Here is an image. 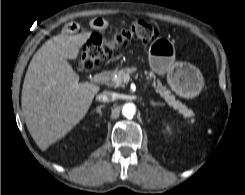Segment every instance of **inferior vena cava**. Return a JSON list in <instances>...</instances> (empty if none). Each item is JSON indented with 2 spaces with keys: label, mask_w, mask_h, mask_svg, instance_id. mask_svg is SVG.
Masks as SVG:
<instances>
[{
  "label": "inferior vena cava",
  "mask_w": 245,
  "mask_h": 195,
  "mask_svg": "<svg viewBox=\"0 0 245 195\" xmlns=\"http://www.w3.org/2000/svg\"><path fill=\"white\" fill-rule=\"evenodd\" d=\"M116 98H117V94L109 91L103 92L96 96L97 101H103V102L114 101L116 100Z\"/></svg>",
  "instance_id": "obj_1"
}]
</instances>
